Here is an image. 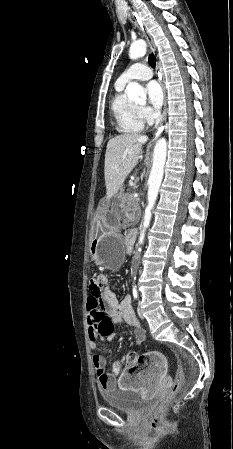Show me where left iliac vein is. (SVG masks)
I'll return each mask as SVG.
<instances>
[{
  "mask_svg": "<svg viewBox=\"0 0 233 449\" xmlns=\"http://www.w3.org/2000/svg\"><path fill=\"white\" fill-rule=\"evenodd\" d=\"M140 306H141V302L139 301V303H138V314L143 319V314H142V310H141Z\"/></svg>",
  "mask_w": 233,
  "mask_h": 449,
  "instance_id": "1",
  "label": "left iliac vein"
}]
</instances>
